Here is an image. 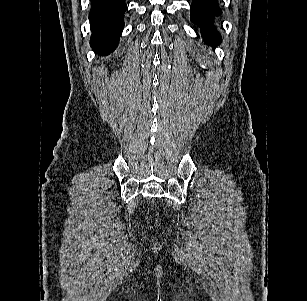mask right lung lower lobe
<instances>
[{"instance_id": "obj_1", "label": "right lung lower lobe", "mask_w": 307, "mask_h": 301, "mask_svg": "<svg viewBox=\"0 0 307 301\" xmlns=\"http://www.w3.org/2000/svg\"><path fill=\"white\" fill-rule=\"evenodd\" d=\"M125 0H91V47L101 55L113 52L124 27Z\"/></svg>"}]
</instances>
